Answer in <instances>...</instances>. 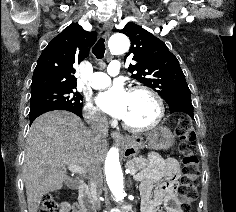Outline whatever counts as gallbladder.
<instances>
[{
	"instance_id": "gallbladder-1",
	"label": "gallbladder",
	"mask_w": 236,
	"mask_h": 212,
	"mask_svg": "<svg viewBox=\"0 0 236 212\" xmlns=\"http://www.w3.org/2000/svg\"><path fill=\"white\" fill-rule=\"evenodd\" d=\"M67 183L71 186L73 185V182H71V181H68Z\"/></svg>"
}]
</instances>
